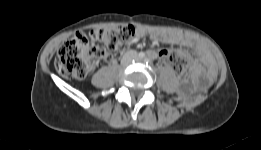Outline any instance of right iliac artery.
Masks as SVG:
<instances>
[{
  "label": "right iliac artery",
  "instance_id": "82829eb1",
  "mask_svg": "<svg viewBox=\"0 0 261 150\" xmlns=\"http://www.w3.org/2000/svg\"><path fill=\"white\" fill-rule=\"evenodd\" d=\"M138 56H139V58H144V57H145V53H144V52H140V53L138 54Z\"/></svg>",
  "mask_w": 261,
  "mask_h": 150
}]
</instances>
